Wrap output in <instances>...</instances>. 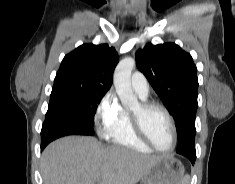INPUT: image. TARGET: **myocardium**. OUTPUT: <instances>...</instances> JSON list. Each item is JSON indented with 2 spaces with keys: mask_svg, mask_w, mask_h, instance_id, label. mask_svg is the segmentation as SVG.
<instances>
[{
  "mask_svg": "<svg viewBox=\"0 0 235 184\" xmlns=\"http://www.w3.org/2000/svg\"><path fill=\"white\" fill-rule=\"evenodd\" d=\"M152 109H160L162 110L169 119L171 129H172V136L173 142L172 146L168 150H161L159 149L154 142L152 141L151 137L149 136L147 129L143 122V115L151 111ZM131 121L133 125V130L135 134L142 139L150 149H152L155 153L160 155H170L175 151L178 142V132L176 127V122L174 116L170 112V110L161 103L158 102H141L140 103V112L139 113H132L131 114Z\"/></svg>",
  "mask_w": 235,
  "mask_h": 184,
  "instance_id": "f54148a6",
  "label": "myocardium"
}]
</instances>
